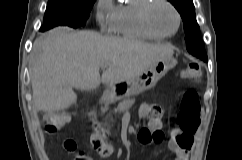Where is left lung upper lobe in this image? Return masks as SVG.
I'll return each mask as SVG.
<instances>
[{
	"mask_svg": "<svg viewBox=\"0 0 242 160\" xmlns=\"http://www.w3.org/2000/svg\"><path fill=\"white\" fill-rule=\"evenodd\" d=\"M180 13L186 34V48L192 55L207 61L206 51L200 36V28L195 17L193 0H168Z\"/></svg>",
	"mask_w": 242,
	"mask_h": 160,
	"instance_id": "obj_1",
	"label": "left lung upper lobe"
}]
</instances>
